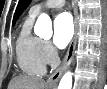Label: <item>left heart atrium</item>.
<instances>
[{
  "label": "left heart atrium",
  "instance_id": "1",
  "mask_svg": "<svg viewBox=\"0 0 107 89\" xmlns=\"http://www.w3.org/2000/svg\"><path fill=\"white\" fill-rule=\"evenodd\" d=\"M74 33L73 21L69 13L59 14L53 24V43L58 48H64L71 41Z\"/></svg>",
  "mask_w": 107,
  "mask_h": 89
}]
</instances>
